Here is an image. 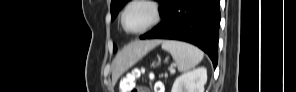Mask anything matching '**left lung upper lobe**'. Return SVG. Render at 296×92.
<instances>
[{"instance_id":"1","label":"left lung upper lobe","mask_w":296,"mask_h":92,"mask_svg":"<svg viewBox=\"0 0 296 92\" xmlns=\"http://www.w3.org/2000/svg\"><path fill=\"white\" fill-rule=\"evenodd\" d=\"M129 0H112L111 1V15H112V20L116 17L118 11L122 9V7L128 2ZM161 4V7L159 9L160 14L163 18V15L165 13L166 7L168 5L169 0H156ZM117 50L116 46L114 45V52Z\"/></svg>"}]
</instances>
